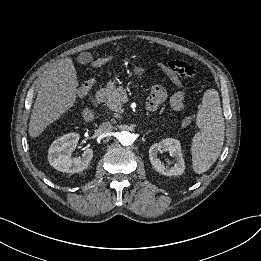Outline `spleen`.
<instances>
[{
    "label": "spleen",
    "mask_w": 261,
    "mask_h": 261,
    "mask_svg": "<svg viewBox=\"0 0 261 261\" xmlns=\"http://www.w3.org/2000/svg\"><path fill=\"white\" fill-rule=\"evenodd\" d=\"M196 124L199 131L192 139V166L196 173L202 174L217 160L224 142V118L216 90L208 89L204 93Z\"/></svg>",
    "instance_id": "spleen-1"
}]
</instances>
